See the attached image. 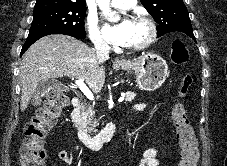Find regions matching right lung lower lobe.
I'll list each match as a JSON object with an SVG mask.
<instances>
[{
    "mask_svg": "<svg viewBox=\"0 0 227 166\" xmlns=\"http://www.w3.org/2000/svg\"><path fill=\"white\" fill-rule=\"evenodd\" d=\"M50 34H65V35H69V36H72V37H75L77 39H82L84 38L83 36H80V35H76V34H72V33H67V32H53V33H46V34H43V35H40L38 37H35V38H31V39H27L25 44L23 45L22 47V50H21V54L22 55L34 42H36L38 39L46 36V35H50Z\"/></svg>",
    "mask_w": 227,
    "mask_h": 166,
    "instance_id": "1",
    "label": "right lung lower lobe"
}]
</instances>
